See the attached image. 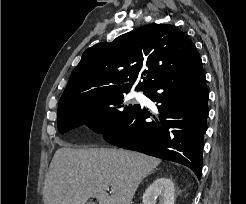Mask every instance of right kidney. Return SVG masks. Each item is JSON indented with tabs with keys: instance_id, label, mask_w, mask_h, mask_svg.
Returning a JSON list of instances; mask_svg holds the SVG:
<instances>
[{
	"instance_id": "obj_1",
	"label": "right kidney",
	"mask_w": 246,
	"mask_h": 204,
	"mask_svg": "<svg viewBox=\"0 0 246 204\" xmlns=\"http://www.w3.org/2000/svg\"><path fill=\"white\" fill-rule=\"evenodd\" d=\"M174 183L171 179L157 178L143 194L144 204H174Z\"/></svg>"
}]
</instances>
